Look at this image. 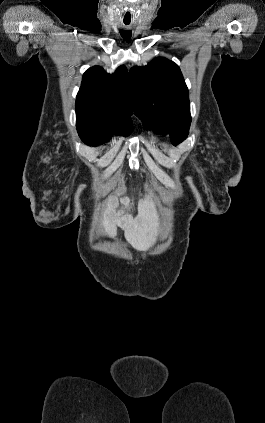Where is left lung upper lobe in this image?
<instances>
[{"label":"left lung upper lobe","mask_w":265,"mask_h":423,"mask_svg":"<svg viewBox=\"0 0 265 423\" xmlns=\"http://www.w3.org/2000/svg\"><path fill=\"white\" fill-rule=\"evenodd\" d=\"M133 108L143 124L157 134L169 133L173 144L189 134V92L180 68L166 58H156L129 72Z\"/></svg>","instance_id":"5c2ea615"}]
</instances>
